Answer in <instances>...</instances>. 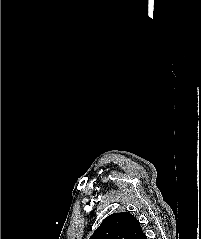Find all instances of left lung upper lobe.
Listing matches in <instances>:
<instances>
[{
    "label": "left lung upper lobe",
    "instance_id": "left-lung-upper-lobe-1",
    "mask_svg": "<svg viewBox=\"0 0 201 239\" xmlns=\"http://www.w3.org/2000/svg\"><path fill=\"white\" fill-rule=\"evenodd\" d=\"M90 239H147L137 219L127 212L106 217Z\"/></svg>",
    "mask_w": 201,
    "mask_h": 239
}]
</instances>
